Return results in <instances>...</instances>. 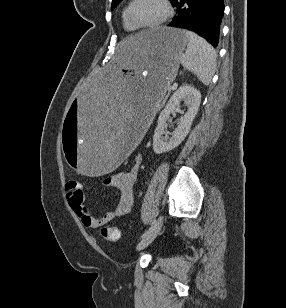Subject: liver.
Returning <instances> with one entry per match:
<instances>
[{"mask_svg": "<svg viewBox=\"0 0 286 308\" xmlns=\"http://www.w3.org/2000/svg\"><path fill=\"white\" fill-rule=\"evenodd\" d=\"M147 34L148 31H143L121 41L114 55V61L117 59L130 57L136 47L140 44V41H142L147 36Z\"/></svg>", "mask_w": 286, "mask_h": 308, "instance_id": "obj_1", "label": "liver"}]
</instances>
